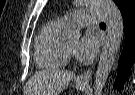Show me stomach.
Masks as SVG:
<instances>
[{"instance_id": "0dacf381", "label": "stomach", "mask_w": 135, "mask_h": 95, "mask_svg": "<svg viewBox=\"0 0 135 95\" xmlns=\"http://www.w3.org/2000/svg\"><path fill=\"white\" fill-rule=\"evenodd\" d=\"M86 86H87L86 83H78V82L75 83V87L78 90H84L86 88Z\"/></svg>"}]
</instances>
